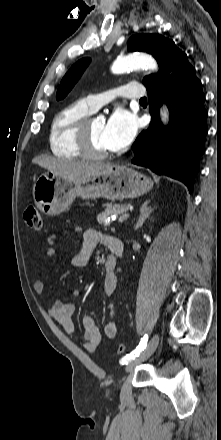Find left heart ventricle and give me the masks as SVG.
Here are the masks:
<instances>
[{"label": "left heart ventricle", "instance_id": "1", "mask_svg": "<svg viewBox=\"0 0 221 440\" xmlns=\"http://www.w3.org/2000/svg\"><path fill=\"white\" fill-rule=\"evenodd\" d=\"M105 123L102 120L94 119L90 123L89 131L93 146L100 151H108L103 140Z\"/></svg>", "mask_w": 221, "mask_h": 440}]
</instances>
